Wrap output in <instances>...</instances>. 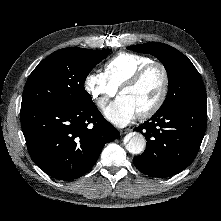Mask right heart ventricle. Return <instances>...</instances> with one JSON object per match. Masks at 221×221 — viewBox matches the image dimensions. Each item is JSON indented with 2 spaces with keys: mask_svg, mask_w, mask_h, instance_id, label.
I'll use <instances>...</instances> for the list:
<instances>
[{
  "mask_svg": "<svg viewBox=\"0 0 221 221\" xmlns=\"http://www.w3.org/2000/svg\"><path fill=\"white\" fill-rule=\"evenodd\" d=\"M152 61V58L145 55L122 52L104 64L103 73L108 81L119 89L139 68Z\"/></svg>",
  "mask_w": 221,
  "mask_h": 221,
  "instance_id": "obj_1",
  "label": "right heart ventricle"
}]
</instances>
